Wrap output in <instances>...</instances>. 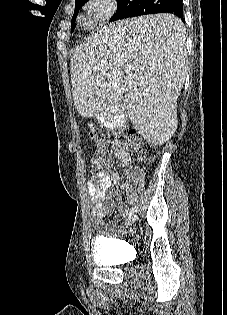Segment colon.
<instances>
[{"instance_id": "1", "label": "colon", "mask_w": 227, "mask_h": 315, "mask_svg": "<svg viewBox=\"0 0 227 315\" xmlns=\"http://www.w3.org/2000/svg\"><path fill=\"white\" fill-rule=\"evenodd\" d=\"M88 136L91 142L96 144L99 149L97 153L94 155L92 160V165L94 168L98 169L102 167L105 163V155L103 154L100 145L103 141V135L100 130L88 126ZM128 146L131 150L137 155V157L141 160H152L157 155V148L155 144L138 134L130 132L128 134Z\"/></svg>"}]
</instances>
